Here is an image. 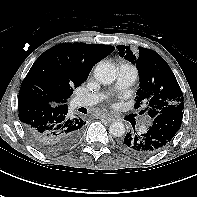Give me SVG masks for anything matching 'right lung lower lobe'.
I'll return each mask as SVG.
<instances>
[{"mask_svg":"<svg viewBox=\"0 0 197 197\" xmlns=\"http://www.w3.org/2000/svg\"><path fill=\"white\" fill-rule=\"evenodd\" d=\"M18 110L25 133L46 153L65 152L81 137L85 122L71 116L67 105L53 106L37 96L19 93Z\"/></svg>","mask_w":197,"mask_h":197,"instance_id":"1","label":"right lung lower lobe"}]
</instances>
